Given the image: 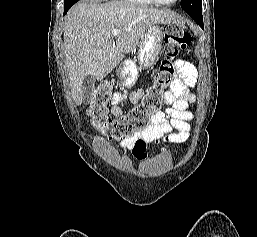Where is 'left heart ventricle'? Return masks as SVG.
I'll list each match as a JSON object with an SVG mask.
<instances>
[{"instance_id":"left-heart-ventricle-1","label":"left heart ventricle","mask_w":257,"mask_h":237,"mask_svg":"<svg viewBox=\"0 0 257 237\" xmlns=\"http://www.w3.org/2000/svg\"><path fill=\"white\" fill-rule=\"evenodd\" d=\"M161 1H164V2H172L173 0H161Z\"/></svg>"}]
</instances>
